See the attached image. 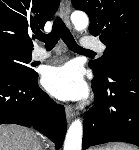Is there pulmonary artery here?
Wrapping results in <instances>:
<instances>
[{"mask_svg": "<svg viewBox=\"0 0 139 150\" xmlns=\"http://www.w3.org/2000/svg\"><path fill=\"white\" fill-rule=\"evenodd\" d=\"M81 46L83 49L86 50H97L100 53H104L106 50L105 45L100 42L99 40L92 38V37H85L82 40ZM51 56L50 52H47L46 50L42 48H36L32 52V58L34 60H45Z\"/></svg>", "mask_w": 139, "mask_h": 150, "instance_id": "1", "label": "pulmonary artery"}]
</instances>
